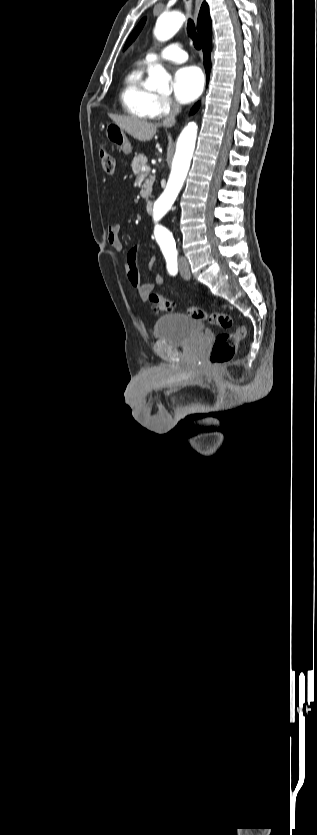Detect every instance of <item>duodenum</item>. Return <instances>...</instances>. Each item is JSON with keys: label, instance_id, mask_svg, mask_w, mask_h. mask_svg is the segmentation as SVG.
<instances>
[{"label": "duodenum", "instance_id": "410a0bca", "mask_svg": "<svg viewBox=\"0 0 317 835\" xmlns=\"http://www.w3.org/2000/svg\"><path fill=\"white\" fill-rule=\"evenodd\" d=\"M153 205H154L153 201H151V200L147 201L145 208H146V211L148 213H151L153 211Z\"/></svg>", "mask_w": 317, "mask_h": 835}]
</instances>
